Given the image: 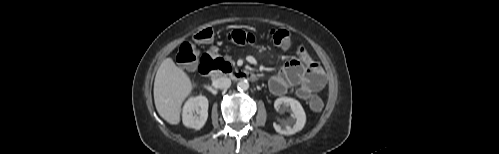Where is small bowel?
<instances>
[{
	"label": "small bowel",
	"instance_id": "c3829d8e",
	"mask_svg": "<svg viewBox=\"0 0 499 154\" xmlns=\"http://www.w3.org/2000/svg\"><path fill=\"white\" fill-rule=\"evenodd\" d=\"M228 38L236 44H252L255 36L243 30H234ZM298 57L289 60L283 68L269 80L270 91L277 96L297 87L296 94L308 100L321 91L325 85V75L321 67L307 54L305 47H297Z\"/></svg>",
	"mask_w": 499,
	"mask_h": 154
}]
</instances>
